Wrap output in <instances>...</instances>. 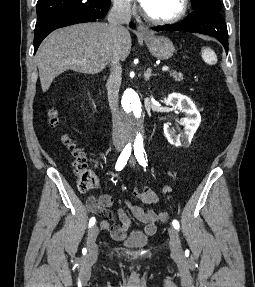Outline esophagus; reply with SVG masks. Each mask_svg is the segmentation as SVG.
<instances>
[{
	"mask_svg": "<svg viewBox=\"0 0 255 287\" xmlns=\"http://www.w3.org/2000/svg\"><path fill=\"white\" fill-rule=\"evenodd\" d=\"M137 30L138 33L141 34L142 36H148L150 33L149 27H146L145 25H139Z\"/></svg>",
	"mask_w": 255,
	"mask_h": 287,
	"instance_id": "1",
	"label": "esophagus"
}]
</instances>
